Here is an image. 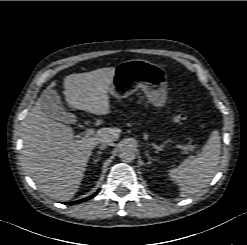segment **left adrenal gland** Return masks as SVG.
<instances>
[{"instance_id":"1","label":"left adrenal gland","mask_w":247,"mask_h":245,"mask_svg":"<svg viewBox=\"0 0 247 245\" xmlns=\"http://www.w3.org/2000/svg\"><path fill=\"white\" fill-rule=\"evenodd\" d=\"M146 156H147V158H148V164H151L152 161L157 160V158H152V157L150 156V154H149L148 151H146Z\"/></svg>"}]
</instances>
